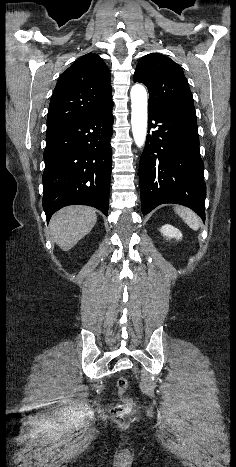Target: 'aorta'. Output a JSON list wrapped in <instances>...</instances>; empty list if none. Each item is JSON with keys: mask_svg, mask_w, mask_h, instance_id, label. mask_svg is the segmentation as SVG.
<instances>
[{"mask_svg": "<svg viewBox=\"0 0 236 467\" xmlns=\"http://www.w3.org/2000/svg\"><path fill=\"white\" fill-rule=\"evenodd\" d=\"M131 125L135 144L144 146L147 134V92L143 85L135 84L130 91Z\"/></svg>", "mask_w": 236, "mask_h": 467, "instance_id": "aorta-1", "label": "aorta"}]
</instances>
